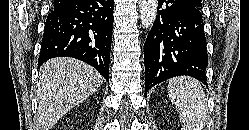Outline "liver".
<instances>
[{
    "instance_id": "obj_1",
    "label": "liver",
    "mask_w": 249,
    "mask_h": 130,
    "mask_svg": "<svg viewBox=\"0 0 249 130\" xmlns=\"http://www.w3.org/2000/svg\"><path fill=\"white\" fill-rule=\"evenodd\" d=\"M103 77L73 58H53L40 68L37 83L38 123L50 130L69 110L94 94Z\"/></svg>"
}]
</instances>
